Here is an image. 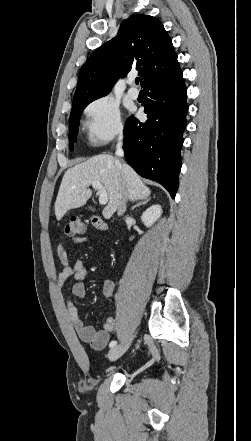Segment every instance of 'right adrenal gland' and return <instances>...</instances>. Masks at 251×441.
Returning <instances> with one entry per match:
<instances>
[{"instance_id":"right-adrenal-gland-1","label":"right adrenal gland","mask_w":251,"mask_h":441,"mask_svg":"<svg viewBox=\"0 0 251 441\" xmlns=\"http://www.w3.org/2000/svg\"><path fill=\"white\" fill-rule=\"evenodd\" d=\"M149 200H150V198L141 200L140 202H138L134 206H132L131 210H134L136 207H139L141 205H144V204L148 203Z\"/></svg>"}]
</instances>
